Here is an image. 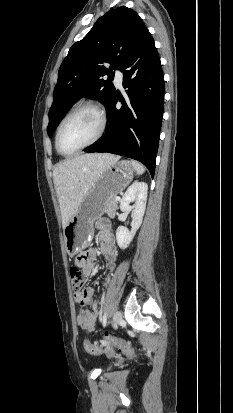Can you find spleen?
<instances>
[{
    "mask_svg": "<svg viewBox=\"0 0 233 413\" xmlns=\"http://www.w3.org/2000/svg\"><path fill=\"white\" fill-rule=\"evenodd\" d=\"M131 164L133 165L134 169L136 170V173L138 175H141L145 172V168L142 164L136 161H131Z\"/></svg>",
    "mask_w": 233,
    "mask_h": 413,
    "instance_id": "3e777b00",
    "label": "spleen"
}]
</instances>
